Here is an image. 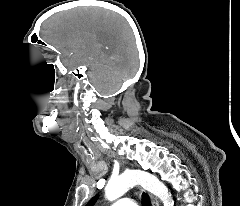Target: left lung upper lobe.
I'll list each match as a JSON object with an SVG mask.
<instances>
[{"label":"left lung upper lobe","instance_id":"5c2ea615","mask_svg":"<svg viewBox=\"0 0 240 206\" xmlns=\"http://www.w3.org/2000/svg\"><path fill=\"white\" fill-rule=\"evenodd\" d=\"M97 198H98V196L96 195L95 197H93V198L87 203L86 206H93V205L96 203Z\"/></svg>","mask_w":240,"mask_h":206}]
</instances>
